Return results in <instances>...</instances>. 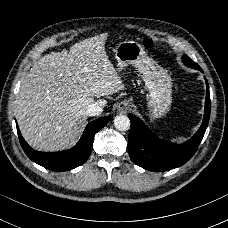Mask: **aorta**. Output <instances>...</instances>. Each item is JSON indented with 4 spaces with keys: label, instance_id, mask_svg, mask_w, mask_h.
Returning <instances> with one entry per match:
<instances>
[{
    "label": "aorta",
    "instance_id": "aorta-1",
    "mask_svg": "<svg viewBox=\"0 0 228 228\" xmlns=\"http://www.w3.org/2000/svg\"><path fill=\"white\" fill-rule=\"evenodd\" d=\"M114 126L119 131H128L131 127L130 119L125 115L116 116Z\"/></svg>",
    "mask_w": 228,
    "mask_h": 228
}]
</instances>
